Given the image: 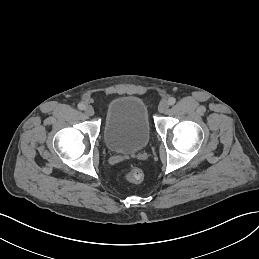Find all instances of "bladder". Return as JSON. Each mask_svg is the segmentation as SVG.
<instances>
[{
    "mask_svg": "<svg viewBox=\"0 0 259 259\" xmlns=\"http://www.w3.org/2000/svg\"><path fill=\"white\" fill-rule=\"evenodd\" d=\"M104 140L108 149L116 153H135L147 146L150 140L149 116L140 98L125 95L109 103Z\"/></svg>",
    "mask_w": 259,
    "mask_h": 259,
    "instance_id": "obj_1",
    "label": "bladder"
}]
</instances>
